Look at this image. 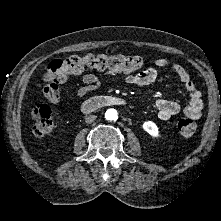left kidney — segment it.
Masks as SVG:
<instances>
[{
	"label": "left kidney",
	"instance_id": "left-kidney-1",
	"mask_svg": "<svg viewBox=\"0 0 221 221\" xmlns=\"http://www.w3.org/2000/svg\"><path fill=\"white\" fill-rule=\"evenodd\" d=\"M143 129L152 137H159L158 127L153 121H145Z\"/></svg>",
	"mask_w": 221,
	"mask_h": 221
}]
</instances>
